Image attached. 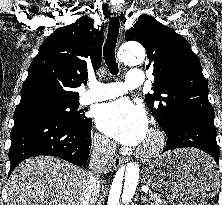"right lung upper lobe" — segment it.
<instances>
[{
  "label": "right lung upper lobe",
  "mask_w": 222,
  "mask_h": 205,
  "mask_svg": "<svg viewBox=\"0 0 222 205\" xmlns=\"http://www.w3.org/2000/svg\"><path fill=\"white\" fill-rule=\"evenodd\" d=\"M102 44L103 29H95L87 15L53 32L29 67L15 113L50 101H78L74 89L87 79L88 68L100 67Z\"/></svg>",
  "instance_id": "obj_1"
}]
</instances>
